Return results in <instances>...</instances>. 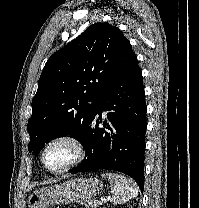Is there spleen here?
I'll return each instance as SVG.
<instances>
[{"label":"spleen","instance_id":"3e777b00","mask_svg":"<svg viewBox=\"0 0 199 208\" xmlns=\"http://www.w3.org/2000/svg\"><path fill=\"white\" fill-rule=\"evenodd\" d=\"M102 177L110 182L112 193L110 200L114 205L124 204L138 195V188L131 179L115 173H103Z\"/></svg>","mask_w":199,"mask_h":208}]
</instances>
